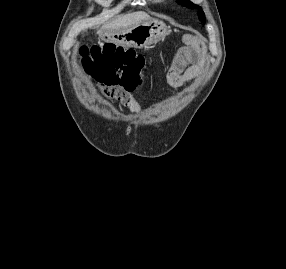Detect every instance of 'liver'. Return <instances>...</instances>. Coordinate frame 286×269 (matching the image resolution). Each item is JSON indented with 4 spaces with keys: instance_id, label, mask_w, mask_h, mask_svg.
<instances>
[{
    "instance_id": "6515ba94",
    "label": "liver",
    "mask_w": 286,
    "mask_h": 269,
    "mask_svg": "<svg viewBox=\"0 0 286 269\" xmlns=\"http://www.w3.org/2000/svg\"><path fill=\"white\" fill-rule=\"evenodd\" d=\"M151 17L144 12H135L132 14H127L118 17L116 20L112 21L108 25L104 26L102 30H119V29H127L133 26L136 23L141 21H150Z\"/></svg>"
}]
</instances>
